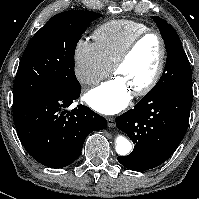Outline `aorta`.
<instances>
[{"instance_id": "1", "label": "aorta", "mask_w": 199, "mask_h": 199, "mask_svg": "<svg viewBox=\"0 0 199 199\" xmlns=\"http://www.w3.org/2000/svg\"><path fill=\"white\" fill-rule=\"evenodd\" d=\"M132 149L131 142L123 136H118L116 138V152L119 155L125 156L130 153Z\"/></svg>"}]
</instances>
